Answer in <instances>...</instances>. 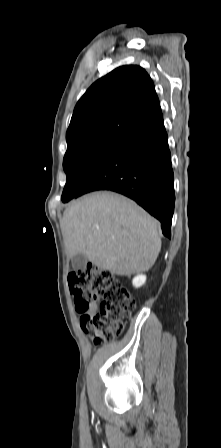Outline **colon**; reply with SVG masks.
<instances>
[{
	"mask_svg": "<svg viewBox=\"0 0 221 448\" xmlns=\"http://www.w3.org/2000/svg\"><path fill=\"white\" fill-rule=\"evenodd\" d=\"M68 285L74 309L80 314L81 329L93 336L96 345L122 333L134 301L118 278L109 271L88 266L71 272ZM97 301L98 310L91 311Z\"/></svg>",
	"mask_w": 221,
	"mask_h": 448,
	"instance_id": "1",
	"label": "colon"
}]
</instances>
